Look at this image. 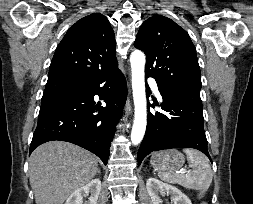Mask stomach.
Listing matches in <instances>:
<instances>
[{
  "label": "stomach",
  "instance_id": "obj_1",
  "mask_svg": "<svg viewBox=\"0 0 253 204\" xmlns=\"http://www.w3.org/2000/svg\"><path fill=\"white\" fill-rule=\"evenodd\" d=\"M185 162L184 155L176 149L154 153L150 163L159 172H174Z\"/></svg>",
  "mask_w": 253,
  "mask_h": 204
}]
</instances>
